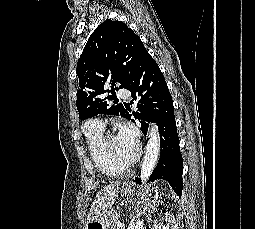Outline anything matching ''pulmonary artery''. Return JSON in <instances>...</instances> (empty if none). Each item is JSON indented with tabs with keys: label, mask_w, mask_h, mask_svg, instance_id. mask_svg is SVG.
I'll return each instance as SVG.
<instances>
[{
	"label": "pulmonary artery",
	"mask_w": 255,
	"mask_h": 229,
	"mask_svg": "<svg viewBox=\"0 0 255 229\" xmlns=\"http://www.w3.org/2000/svg\"><path fill=\"white\" fill-rule=\"evenodd\" d=\"M119 94L122 98L127 99L129 97V92L126 89H119ZM91 126L104 128V123L99 119L89 120Z\"/></svg>",
	"instance_id": "e3ab8cb5"
}]
</instances>
